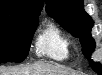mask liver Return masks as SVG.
Listing matches in <instances>:
<instances>
[{
  "label": "liver",
  "instance_id": "1",
  "mask_svg": "<svg viewBox=\"0 0 102 75\" xmlns=\"http://www.w3.org/2000/svg\"><path fill=\"white\" fill-rule=\"evenodd\" d=\"M0 75H76L58 66L36 63L24 67H1Z\"/></svg>",
  "mask_w": 102,
  "mask_h": 75
}]
</instances>
